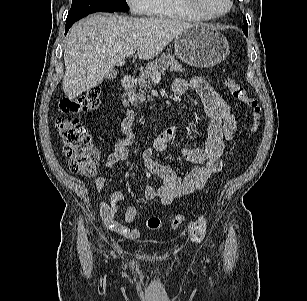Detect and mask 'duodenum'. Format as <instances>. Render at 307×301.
<instances>
[{
    "mask_svg": "<svg viewBox=\"0 0 307 301\" xmlns=\"http://www.w3.org/2000/svg\"><path fill=\"white\" fill-rule=\"evenodd\" d=\"M135 78L134 76L128 75L123 78V94H122V102L126 108L130 107L129 95L134 87Z\"/></svg>",
    "mask_w": 307,
    "mask_h": 301,
    "instance_id": "410a0bca",
    "label": "duodenum"
}]
</instances>
